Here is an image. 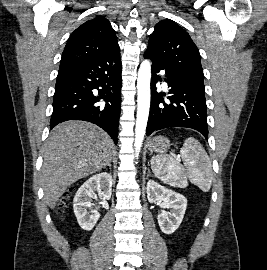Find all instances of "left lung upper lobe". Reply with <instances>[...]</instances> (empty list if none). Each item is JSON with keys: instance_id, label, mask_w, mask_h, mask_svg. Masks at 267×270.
I'll use <instances>...</instances> for the list:
<instances>
[{"instance_id": "left-lung-upper-lobe-1", "label": "left lung upper lobe", "mask_w": 267, "mask_h": 270, "mask_svg": "<svg viewBox=\"0 0 267 270\" xmlns=\"http://www.w3.org/2000/svg\"><path fill=\"white\" fill-rule=\"evenodd\" d=\"M146 51L170 73L204 89L199 50L189 34L176 23L158 22Z\"/></svg>"}]
</instances>
